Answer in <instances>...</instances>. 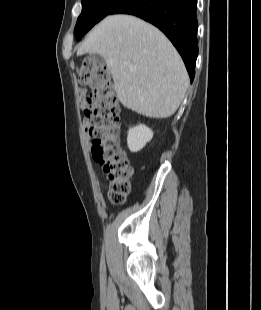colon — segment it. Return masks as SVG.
Wrapping results in <instances>:
<instances>
[{
    "mask_svg": "<svg viewBox=\"0 0 261 310\" xmlns=\"http://www.w3.org/2000/svg\"><path fill=\"white\" fill-rule=\"evenodd\" d=\"M80 84L91 89L83 107L93 137L92 155L103 168L112 204H122L131 191L133 168L120 147V107L109 72L92 58L77 68Z\"/></svg>",
    "mask_w": 261,
    "mask_h": 310,
    "instance_id": "colon-1",
    "label": "colon"
}]
</instances>
